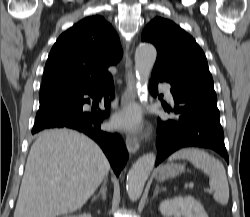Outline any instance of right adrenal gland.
Masks as SVG:
<instances>
[{"mask_svg":"<svg viewBox=\"0 0 250 217\" xmlns=\"http://www.w3.org/2000/svg\"><path fill=\"white\" fill-rule=\"evenodd\" d=\"M106 184H107V178L104 179L103 186L101 187L99 193L96 196H94L93 201L99 198L100 196L103 200H106V192H107Z\"/></svg>","mask_w":250,"mask_h":217,"instance_id":"2a0ac1e0","label":"right adrenal gland"}]
</instances>
